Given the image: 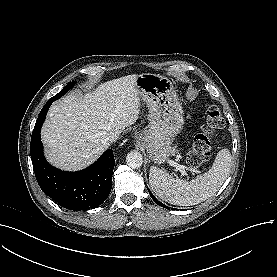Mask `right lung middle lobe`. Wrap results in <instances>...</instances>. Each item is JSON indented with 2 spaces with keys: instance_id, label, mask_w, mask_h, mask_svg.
<instances>
[{
  "instance_id": "right-lung-middle-lobe-1",
  "label": "right lung middle lobe",
  "mask_w": 277,
  "mask_h": 277,
  "mask_svg": "<svg viewBox=\"0 0 277 277\" xmlns=\"http://www.w3.org/2000/svg\"><path fill=\"white\" fill-rule=\"evenodd\" d=\"M75 82H69L66 87H64L58 94L50 98L49 100L55 101L66 94L73 86Z\"/></svg>"
}]
</instances>
